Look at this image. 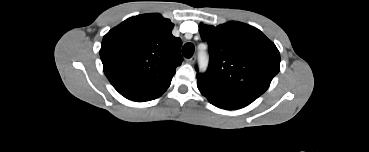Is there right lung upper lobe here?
Segmentation results:
<instances>
[{"instance_id":"obj_1","label":"right lung upper lobe","mask_w":369,"mask_h":152,"mask_svg":"<svg viewBox=\"0 0 369 152\" xmlns=\"http://www.w3.org/2000/svg\"><path fill=\"white\" fill-rule=\"evenodd\" d=\"M174 25L160 14L131 17L104 37L100 49L104 73L125 98L143 102L162 95L183 58Z\"/></svg>"}]
</instances>
